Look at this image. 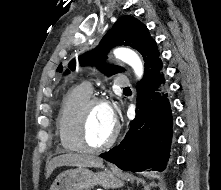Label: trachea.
<instances>
[{"label": "trachea", "mask_w": 221, "mask_h": 190, "mask_svg": "<svg viewBox=\"0 0 221 190\" xmlns=\"http://www.w3.org/2000/svg\"><path fill=\"white\" fill-rule=\"evenodd\" d=\"M123 90H126V91H127V90H130V88H129V87H126V88H124Z\"/></svg>", "instance_id": "1"}]
</instances>
